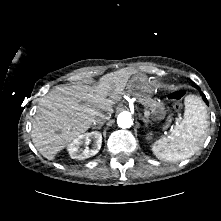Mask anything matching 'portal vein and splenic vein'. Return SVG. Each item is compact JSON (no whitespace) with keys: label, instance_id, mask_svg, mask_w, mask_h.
<instances>
[{"label":"portal vein and splenic vein","instance_id":"1","mask_svg":"<svg viewBox=\"0 0 221 221\" xmlns=\"http://www.w3.org/2000/svg\"><path fill=\"white\" fill-rule=\"evenodd\" d=\"M144 115H145L146 117H148V116L150 115V112H149L147 109H145Z\"/></svg>","mask_w":221,"mask_h":221}]
</instances>
